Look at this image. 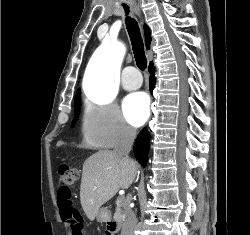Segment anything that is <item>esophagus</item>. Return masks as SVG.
<instances>
[{"mask_svg": "<svg viewBox=\"0 0 250 235\" xmlns=\"http://www.w3.org/2000/svg\"><path fill=\"white\" fill-rule=\"evenodd\" d=\"M135 12L138 16H140V9L138 6L135 7Z\"/></svg>", "mask_w": 250, "mask_h": 235, "instance_id": "esophagus-1", "label": "esophagus"}]
</instances>
